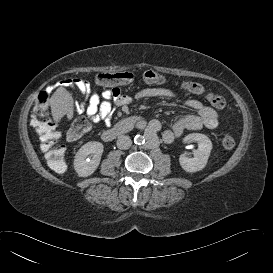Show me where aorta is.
Here are the masks:
<instances>
[{
	"label": "aorta",
	"instance_id": "obj_1",
	"mask_svg": "<svg viewBox=\"0 0 273 273\" xmlns=\"http://www.w3.org/2000/svg\"><path fill=\"white\" fill-rule=\"evenodd\" d=\"M134 142H135V144L141 145V144L145 143V139L141 135H136L134 138Z\"/></svg>",
	"mask_w": 273,
	"mask_h": 273
}]
</instances>
